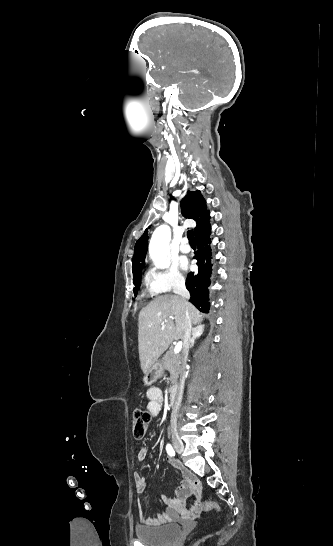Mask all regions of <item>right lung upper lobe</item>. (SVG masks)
I'll use <instances>...</instances> for the list:
<instances>
[{
    "label": "right lung upper lobe",
    "mask_w": 333,
    "mask_h": 546,
    "mask_svg": "<svg viewBox=\"0 0 333 546\" xmlns=\"http://www.w3.org/2000/svg\"><path fill=\"white\" fill-rule=\"evenodd\" d=\"M180 206L184 217L196 221L194 229L195 237L210 226V215L207 210V204L199 190L195 192L188 191V194L182 199ZM147 248L148 231L146 229L135 245V253L132 259L133 279L139 275V271H141L145 264Z\"/></svg>",
    "instance_id": "cb5924a9"
}]
</instances>
